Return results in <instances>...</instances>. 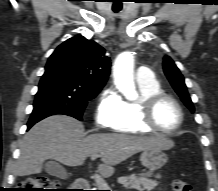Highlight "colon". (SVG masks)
<instances>
[{"label":"colon","instance_id":"obj_1","mask_svg":"<svg viewBox=\"0 0 218 191\" xmlns=\"http://www.w3.org/2000/svg\"><path fill=\"white\" fill-rule=\"evenodd\" d=\"M174 191H192V186L182 179H175L172 182ZM18 191H65L59 184L45 176L30 177L21 182Z\"/></svg>","mask_w":218,"mask_h":191}]
</instances>
